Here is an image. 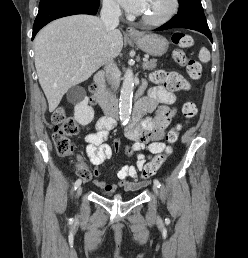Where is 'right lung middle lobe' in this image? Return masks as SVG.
Here are the masks:
<instances>
[{
  "instance_id": "dd1d6c3e",
  "label": "right lung middle lobe",
  "mask_w": 248,
  "mask_h": 258,
  "mask_svg": "<svg viewBox=\"0 0 248 258\" xmlns=\"http://www.w3.org/2000/svg\"><path fill=\"white\" fill-rule=\"evenodd\" d=\"M54 1H59V0H41V1H40V4H39V7H40V6H43V5H45V4L54 2Z\"/></svg>"
}]
</instances>
